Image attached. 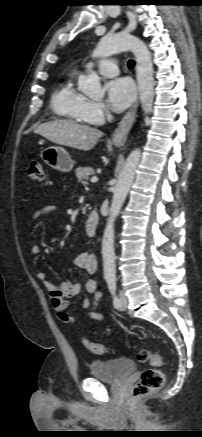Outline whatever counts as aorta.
Listing matches in <instances>:
<instances>
[{
	"label": "aorta",
	"instance_id": "aorta-1",
	"mask_svg": "<svg viewBox=\"0 0 202 437\" xmlns=\"http://www.w3.org/2000/svg\"><path fill=\"white\" fill-rule=\"evenodd\" d=\"M126 50H131L136 58L140 102L143 111L149 113L153 107L154 79L151 53L146 44L138 37L125 32L115 35H105L101 38L96 49L93 51V56L97 58L108 57ZM79 89L85 95L93 99H100L104 95L100 78L96 72L90 73L86 78H80ZM140 158V149H135L129 154L113 190L112 204L102 239L105 278L115 277L114 224L133 183Z\"/></svg>",
	"mask_w": 202,
	"mask_h": 437
}]
</instances>
